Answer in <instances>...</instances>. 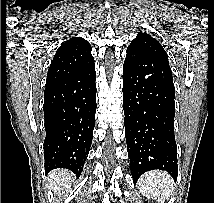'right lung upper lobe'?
I'll use <instances>...</instances> for the list:
<instances>
[{
	"instance_id": "obj_1",
	"label": "right lung upper lobe",
	"mask_w": 214,
	"mask_h": 203,
	"mask_svg": "<svg viewBox=\"0 0 214 203\" xmlns=\"http://www.w3.org/2000/svg\"><path fill=\"white\" fill-rule=\"evenodd\" d=\"M92 47L81 37H74L61 44L50 64L46 84L74 75L94 63Z\"/></svg>"
}]
</instances>
